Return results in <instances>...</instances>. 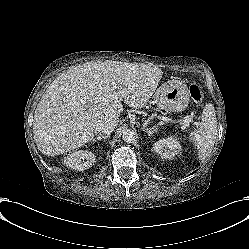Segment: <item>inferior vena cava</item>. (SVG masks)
<instances>
[{"label": "inferior vena cava", "instance_id": "602c4592", "mask_svg": "<svg viewBox=\"0 0 249 249\" xmlns=\"http://www.w3.org/2000/svg\"><path fill=\"white\" fill-rule=\"evenodd\" d=\"M118 121H108L105 122L103 124H101L100 128H99V133L100 135H109L113 132V130L115 129V126L117 125Z\"/></svg>", "mask_w": 249, "mask_h": 249}]
</instances>
